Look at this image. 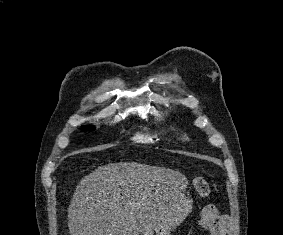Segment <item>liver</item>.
I'll list each match as a JSON object with an SVG mask.
<instances>
[{"instance_id": "liver-1", "label": "liver", "mask_w": 283, "mask_h": 235, "mask_svg": "<svg viewBox=\"0 0 283 235\" xmlns=\"http://www.w3.org/2000/svg\"><path fill=\"white\" fill-rule=\"evenodd\" d=\"M187 186L178 171L136 162L99 166L68 208L70 235H140L166 218Z\"/></svg>"}]
</instances>
